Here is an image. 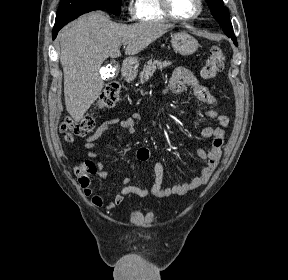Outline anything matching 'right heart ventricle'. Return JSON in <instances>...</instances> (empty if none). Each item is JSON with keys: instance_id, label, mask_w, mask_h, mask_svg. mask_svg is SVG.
<instances>
[{"instance_id": "1", "label": "right heart ventricle", "mask_w": 288, "mask_h": 280, "mask_svg": "<svg viewBox=\"0 0 288 280\" xmlns=\"http://www.w3.org/2000/svg\"><path fill=\"white\" fill-rule=\"evenodd\" d=\"M137 19L142 22H166L159 0H137Z\"/></svg>"}]
</instances>
